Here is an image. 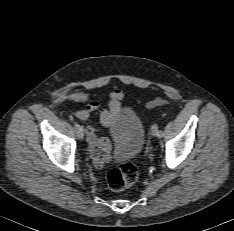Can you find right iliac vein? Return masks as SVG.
Segmentation results:
<instances>
[{"label": "right iliac vein", "instance_id": "right-iliac-vein-1", "mask_svg": "<svg viewBox=\"0 0 234 231\" xmlns=\"http://www.w3.org/2000/svg\"><path fill=\"white\" fill-rule=\"evenodd\" d=\"M77 136H78V139H80V140H82L84 138L83 128H82V130L79 133H77Z\"/></svg>", "mask_w": 234, "mask_h": 231}]
</instances>
